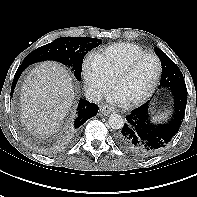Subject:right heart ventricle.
<instances>
[{"label":"right heart ventricle","mask_w":197,"mask_h":197,"mask_svg":"<svg viewBox=\"0 0 197 197\" xmlns=\"http://www.w3.org/2000/svg\"><path fill=\"white\" fill-rule=\"evenodd\" d=\"M143 53H146V50L136 44L117 43L93 54L91 62L96 68L114 79L128 62Z\"/></svg>","instance_id":"obj_1"}]
</instances>
